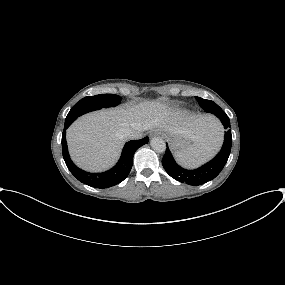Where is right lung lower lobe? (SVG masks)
<instances>
[{
	"instance_id": "right-lung-lower-lobe-1",
	"label": "right lung lower lobe",
	"mask_w": 285,
	"mask_h": 285,
	"mask_svg": "<svg viewBox=\"0 0 285 285\" xmlns=\"http://www.w3.org/2000/svg\"><path fill=\"white\" fill-rule=\"evenodd\" d=\"M69 126L70 125H64V131L62 133V153L64 161L76 179L95 188L102 189L112 187L126 179L132 168L135 151L149 141L148 137H145L141 140H131L127 142L123 148L120 159L113 168L102 173H90L78 168L70 159L66 143V129Z\"/></svg>"
}]
</instances>
